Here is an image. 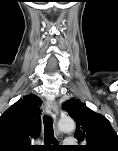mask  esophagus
<instances>
[{
	"mask_svg": "<svg viewBox=\"0 0 118 151\" xmlns=\"http://www.w3.org/2000/svg\"><path fill=\"white\" fill-rule=\"evenodd\" d=\"M46 112L54 119L58 116V106L53 101H47L45 104Z\"/></svg>",
	"mask_w": 118,
	"mask_h": 151,
	"instance_id": "1",
	"label": "esophagus"
}]
</instances>
